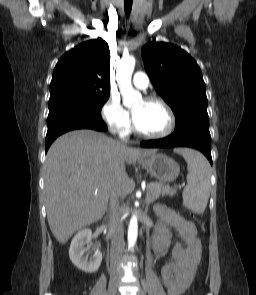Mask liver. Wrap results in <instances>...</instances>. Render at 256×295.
I'll list each match as a JSON object with an SVG mask.
<instances>
[{"label":"liver","mask_w":256,"mask_h":295,"mask_svg":"<svg viewBox=\"0 0 256 295\" xmlns=\"http://www.w3.org/2000/svg\"><path fill=\"white\" fill-rule=\"evenodd\" d=\"M155 153L129 148L93 130H75L56 139L44 164L47 219L56 240L65 244L75 232L100 220L114 184L123 195L133 189L125 163Z\"/></svg>","instance_id":"1"}]
</instances>
